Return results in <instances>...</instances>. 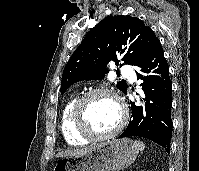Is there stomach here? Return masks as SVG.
I'll return each instance as SVG.
<instances>
[{"instance_id": "obj_1", "label": "stomach", "mask_w": 199, "mask_h": 171, "mask_svg": "<svg viewBox=\"0 0 199 171\" xmlns=\"http://www.w3.org/2000/svg\"><path fill=\"white\" fill-rule=\"evenodd\" d=\"M138 152L130 138L110 139L84 154L61 159L53 171H120L136 159Z\"/></svg>"}]
</instances>
